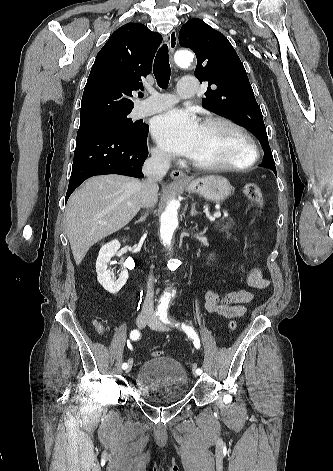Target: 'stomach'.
<instances>
[{
	"label": "stomach",
	"mask_w": 333,
	"mask_h": 471,
	"mask_svg": "<svg viewBox=\"0 0 333 471\" xmlns=\"http://www.w3.org/2000/svg\"><path fill=\"white\" fill-rule=\"evenodd\" d=\"M180 185L188 193L198 194L206 200L217 203L226 200L232 191L229 181L218 175L203 176Z\"/></svg>",
	"instance_id": "stomach-1"
}]
</instances>
